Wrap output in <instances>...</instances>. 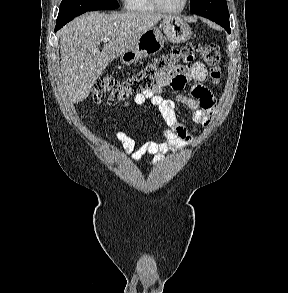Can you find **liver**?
Wrapping results in <instances>:
<instances>
[{"label": "liver", "mask_w": 288, "mask_h": 293, "mask_svg": "<svg viewBox=\"0 0 288 293\" xmlns=\"http://www.w3.org/2000/svg\"><path fill=\"white\" fill-rule=\"evenodd\" d=\"M165 17L149 12H89L65 25L60 31V66L68 99H86L103 70ZM104 38L110 40L100 51Z\"/></svg>", "instance_id": "1"}]
</instances>
